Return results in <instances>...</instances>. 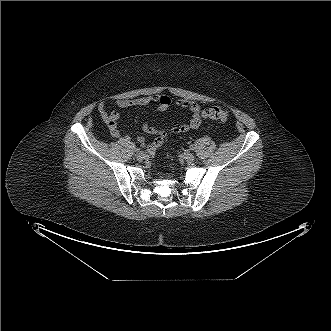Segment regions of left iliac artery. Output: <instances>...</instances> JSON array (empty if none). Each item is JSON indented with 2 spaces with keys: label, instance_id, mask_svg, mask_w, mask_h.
I'll return each mask as SVG.
<instances>
[{
  "label": "left iliac artery",
  "instance_id": "left-iliac-artery-1",
  "mask_svg": "<svg viewBox=\"0 0 331 331\" xmlns=\"http://www.w3.org/2000/svg\"><path fill=\"white\" fill-rule=\"evenodd\" d=\"M191 150H194V146L193 145H190L189 147Z\"/></svg>",
  "mask_w": 331,
  "mask_h": 331
}]
</instances>
